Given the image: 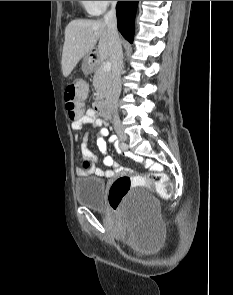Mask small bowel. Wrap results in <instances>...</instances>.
Wrapping results in <instances>:
<instances>
[{"mask_svg":"<svg viewBox=\"0 0 233 295\" xmlns=\"http://www.w3.org/2000/svg\"><path fill=\"white\" fill-rule=\"evenodd\" d=\"M92 125L93 127L101 128L99 136L97 137L96 144L99 151L103 154L104 159L103 163L108 169H102L95 166V157L92 152L87 147V138H84V141L81 146V156L84 163H87L88 167L83 169L78 168V173H92L98 177L102 178H112L120 172L128 171V168L120 165L112 156L107 153V144L105 138L109 136V131L107 129V123L98 117L95 110L88 109L83 111L79 117H77L72 122V129L75 131H80L84 125ZM109 142L114 144L120 153H123V149L120 148L117 144V138L115 136L109 137ZM144 165L151 168L152 170L159 171L160 165L154 163L151 160H144Z\"/></svg>","mask_w":233,"mask_h":295,"instance_id":"obj_1","label":"small bowel"}]
</instances>
